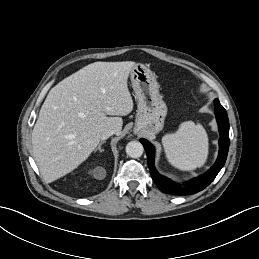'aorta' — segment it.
<instances>
[{"instance_id": "762f6f07", "label": "aorta", "mask_w": 259, "mask_h": 259, "mask_svg": "<svg viewBox=\"0 0 259 259\" xmlns=\"http://www.w3.org/2000/svg\"><path fill=\"white\" fill-rule=\"evenodd\" d=\"M143 151V145L138 141H131L126 145V153L131 158H139Z\"/></svg>"}]
</instances>
